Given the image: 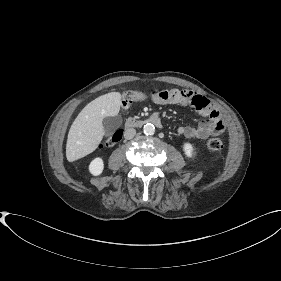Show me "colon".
<instances>
[{"label":"colon","instance_id":"1","mask_svg":"<svg viewBox=\"0 0 281 281\" xmlns=\"http://www.w3.org/2000/svg\"><path fill=\"white\" fill-rule=\"evenodd\" d=\"M147 97H148V95L142 91H128L122 96L121 104H122L123 108H128L133 103L138 102V101H143V100L147 99ZM121 138H122V132L117 131L112 136L108 137L100 145V148L113 146L118 141H120ZM206 146L208 149H210L212 151H220V150L224 149L225 144L219 138H211L206 142Z\"/></svg>","mask_w":281,"mask_h":281}]
</instances>
